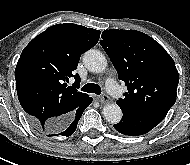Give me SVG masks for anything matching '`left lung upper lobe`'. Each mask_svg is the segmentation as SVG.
Masks as SVG:
<instances>
[{
  "label": "left lung upper lobe",
  "mask_w": 190,
  "mask_h": 165,
  "mask_svg": "<svg viewBox=\"0 0 190 165\" xmlns=\"http://www.w3.org/2000/svg\"><path fill=\"white\" fill-rule=\"evenodd\" d=\"M104 48L118 78L128 86L119 107L166 116L176 101L179 74L166 50L150 36L136 30H105Z\"/></svg>",
  "instance_id": "5c2ea615"
}]
</instances>
